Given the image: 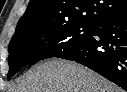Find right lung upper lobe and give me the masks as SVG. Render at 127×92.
Listing matches in <instances>:
<instances>
[{
  "instance_id": "obj_1",
  "label": "right lung upper lobe",
  "mask_w": 127,
  "mask_h": 92,
  "mask_svg": "<svg viewBox=\"0 0 127 92\" xmlns=\"http://www.w3.org/2000/svg\"><path fill=\"white\" fill-rule=\"evenodd\" d=\"M127 11V0H31L12 39L34 28L98 22Z\"/></svg>"
}]
</instances>
